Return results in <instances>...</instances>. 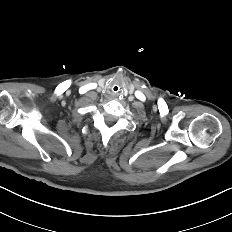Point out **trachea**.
I'll use <instances>...</instances> for the list:
<instances>
[{"label": "trachea", "mask_w": 232, "mask_h": 232, "mask_svg": "<svg viewBox=\"0 0 232 232\" xmlns=\"http://www.w3.org/2000/svg\"><path fill=\"white\" fill-rule=\"evenodd\" d=\"M111 91L113 93H119L121 91V86L119 84H114L112 87H111Z\"/></svg>", "instance_id": "3493384b"}]
</instances>
